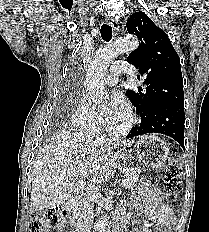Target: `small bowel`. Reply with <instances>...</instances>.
Wrapping results in <instances>:
<instances>
[{
  "label": "small bowel",
  "instance_id": "c3829d8e",
  "mask_svg": "<svg viewBox=\"0 0 209 232\" xmlns=\"http://www.w3.org/2000/svg\"><path fill=\"white\" fill-rule=\"evenodd\" d=\"M130 207L142 217V225L135 228L133 232H151L154 224L157 232H170L169 227L176 223L174 212L164 202L161 191L148 180L140 183L130 202ZM125 219V213L118 214V220L121 223H124Z\"/></svg>",
  "mask_w": 209,
  "mask_h": 232
}]
</instances>
